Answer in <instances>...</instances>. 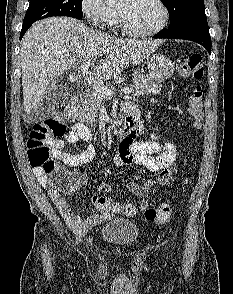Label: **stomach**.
Segmentation results:
<instances>
[{"instance_id":"0dacf381","label":"stomach","mask_w":233,"mask_h":294,"mask_svg":"<svg viewBox=\"0 0 233 294\" xmlns=\"http://www.w3.org/2000/svg\"><path fill=\"white\" fill-rule=\"evenodd\" d=\"M149 77L155 82L166 81L174 73V63L162 54H154L147 58Z\"/></svg>"}]
</instances>
